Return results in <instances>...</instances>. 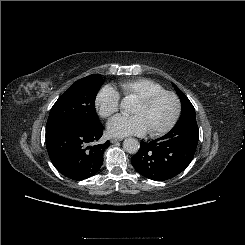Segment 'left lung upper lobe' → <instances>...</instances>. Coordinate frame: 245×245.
Instances as JSON below:
<instances>
[{"instance_id": "5c2ea615", "label": "left lung upper lobe", "mask_w": 245, "mask_h": 245, "mask_svg": "<svg viewBox=\"0 0 245 245\" xmlns=\"http://www.w3.org/2000/svg\"><path fill=\"white\" fill-rule=\"evenodd\" d=\"M182 103V112L176 125L163 137L176 143H188L197 146L198 125L196 122L195 109L185 94L173 84Z\"/></svg>"}]
</instances>
